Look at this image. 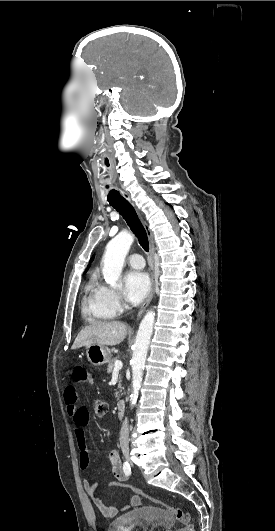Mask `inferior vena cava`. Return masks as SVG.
I'll list each match as a JSON object with an SVG mask.
<instances>
[{
  "instance_id": "obj_1",
  "label": "inferior vena cava",
  "mask_w": 275,
  "mask_h": 531,
  "mask_svg": "<svg viewBox=\"0 0 275 531\" xmlns=\"http://www.w3.org/2000/svg\"><path fill=\"white\" fill-rule=\"evenodd\" d=\"M129 425H128V421L127 419H125V421H123L122 423V427L120 429V437H119V441H120V447L121 449H129Z\"/></svg>"
}]
</instances>
